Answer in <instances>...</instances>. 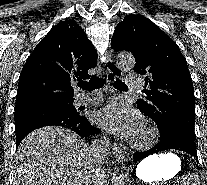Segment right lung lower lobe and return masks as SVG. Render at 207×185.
Returning a JSON list of instances; mask_svg holds the SVG:
<instances>
[{
	"label": "right lung lower lobe",
	"mask_w": 207,
	"mask_h": 185,
	"mask_svg": "<svg viewBox=\"0 0 207 185\" xmlns=\"http://www.w3.org/2000/svg\"><path fill=\"white\" fill-rule=\"evenodd\" d=\"M51 125L69 128L74 132H76L78 135H80L82 138L88 137L90 135L99 134L101 132L100 129L92 126L86 117L84 120L78 123H58L54 120H44L38 123L28 124L20 127L19 129H16V148L23 140V138L33 130L40 127L51 126Z\"/></svg>",
	"instance_id": "1"
}]
</instances>
